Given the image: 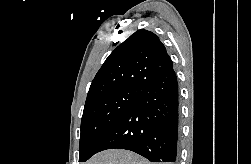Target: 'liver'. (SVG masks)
Wrapping results in <instances>:
<instances>
[{
	"mask_svg": "<svg viewBox=\"0 0 251 164\" xmlns=\"http://www.w3.org/2000/svg\"><path fill=\"white\" fill-rule=\"evenodd\" d=\"M86 164H151L143 157L127 150L111 149L93 156Z\"/></svg>",
	"mask_w": 251,
	"mask_h": 164,
	"instance_id": "obj_1",
	"label": "liver"
}]
</instances>
